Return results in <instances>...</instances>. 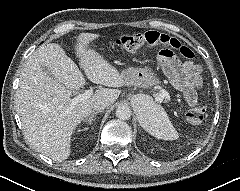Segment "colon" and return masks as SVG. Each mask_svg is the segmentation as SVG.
Instances as JSON below:
<instances>
[{"label": "colon", "mask_w": 240, "mask_h": 191, "mask_svg": "<svg viewBox=\"0 0 240 191\" xmlns=\"http://www.w3.org/2000/svg\"><path fill=\"white\" fill-rule=\"evenodd\" d=\"M116 44L126 51H135L143 46H158L161 48L159 58L162 62L172 58L175 51L187 60L194 59V53L188 47L181 45L177 39L156 31L122 36L116 40ZM186 119L190 124H201L204 120V107L197 103L190 105Z\"/></svg>", "instance_id": "colon-1"}]
</instances>
